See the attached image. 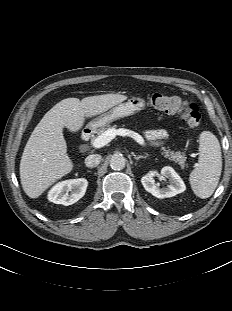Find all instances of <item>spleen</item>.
Returning a JSON list of instances; mask_svg holds the SVG:
<instances>
[{"label":"spleen","instance_id":"3e777b00","mask_svg":"<svg viewBox=\"0 0 232 311\" xmlns=\"http://www.w3.org/2000/svg\"><path fill=\"white\" fill-rule=\"evenodd\" d=\"M222 171L221 147L216 136L203 131L199 138L198 164L191 172L189 181L194 194L209 198L215 191Z\"/></svg>","mask_w":232,"mask_h":311}]
</instances>
